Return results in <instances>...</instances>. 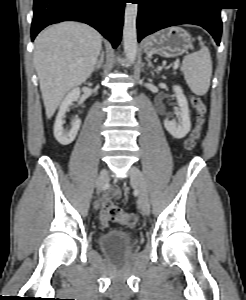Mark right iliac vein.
<instances>
[{"instance_id": "63e3f726", "label": "right iliac vein", "mask_w": 246, "mask_h": 300, "mask_svg": "<svg viewBox=\"0 0 246 300\" xmlns=\"http://www.w3.org/2000/svg\"><path fill=\"white\" fill-rule=\"evenodd\" d=\"M108 178V171L103 169L96 180L97 193L99 194Z\"/></svg>"}]
</instances>
